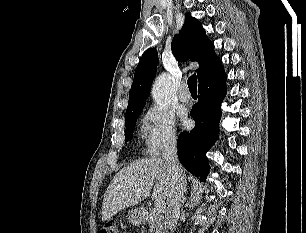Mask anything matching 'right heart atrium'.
I'll return each instance as SVG.
<instances>
[{
  "mask_svg": "<svg viewBox=\"0 0 306 233\" xmlns=\"http://www.w3.org/2000/svg\"><path fill=\"white\" fill-rule=\"evenodd\" d=\"M142 128L146 151L150 156H158L177 142L175 118L168 111L150 107L143 117Z\"/></svg>",
  "mask_w": 306,
  "mask_h": 233,
  "instance_id": "1",
  "label": "right heart atrium"
}]
</instances>
